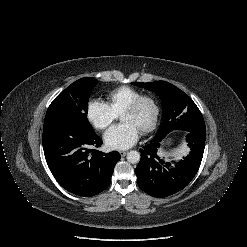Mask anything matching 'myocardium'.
Masks as SVG:
<instances>
[{"label":"myocardium","instance_id":"obj_1","mask_svg":"<svg viewBox=\"0 0 247 247\" xmlns=\"http://www.w3.org/2000/svg\"><path fill=\"white\" fill-rule=\"evenodd\" d=\"M145 101H151L153 106H154V116H153L152 121L150 122L149 125H147L146 127H144L141 130V132L143 134H148V133H150L156 129V127L158 126L160 117H161V105H160V102L156 96H154L152 94H142L139 97H137L134 101H132L123 110L122 113L137 111Z\"/></svg>","mask_w":247,"mask_h":247}]
</instances>
